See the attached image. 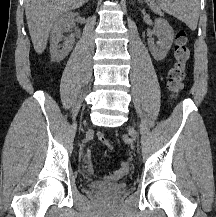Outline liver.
Listing matches in <instances>:
<instances>
[{
	"mask_svg": "<svg viewBox=\"0 0 216 217\" xmlns=\"http://www.w3.org/2000/svg\"><path fill=\"white\" fill-rule=\"evenodd\" d=\"M84 3L85 0H25L27 24L38 54L45 50L50 30L58 17Z\"/></svg>",
	"mask_w": 216,
	"mask_h": 217,
	"instance_id": "liver-1",
	"label": "liver"
}]
</instances>
